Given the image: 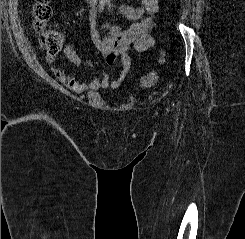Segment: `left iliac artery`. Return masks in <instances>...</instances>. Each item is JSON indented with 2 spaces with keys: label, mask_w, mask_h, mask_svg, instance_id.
<instances>
[{
  "label": "left iliac artery",
  "mask_w": 245,
  "mask_h": 239,
  "mask_svg": "<svg viewBox=\"0 0 245 239\" xmlns=\"http://www.w3.org/2000/svg\"><path fill=\"white\" fill-rule=\"evenodd\" d=\"M107 4H108V7L110 8V4H109V1L107 0Z\"/></svg>",
  "instance_id": "obj_1"
}]
</instances>
